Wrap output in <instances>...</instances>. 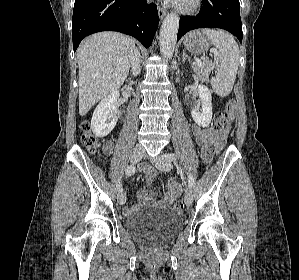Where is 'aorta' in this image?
<instances>
[{
	"instance_id": "1",
	"label": "aorta",
	"mask_w": 299,
	"mask_h": 280,
	"mask_svg": "<svg viewBox=\"0 0 299 280\" xmlns=\"http://www.w3.org/2000/svg\"><path fill=\"white\" fill-rule=\"evenodd\" d=\"M178 29L179 17L174 13L168 14L160 30V52L166 59H171L174 53Z\"/></svg>"
}]
</instances>
